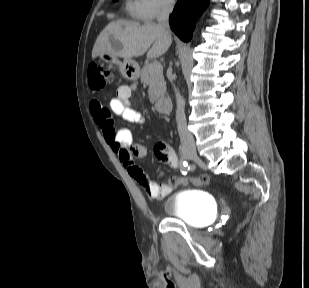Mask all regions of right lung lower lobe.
<instances>
[{
	"label": "right lung lower lobe",
	"instance_id": "right-lung-lower-lobe-1",
	"mask_svg": "<svg viewBox=\"0 0 309 288\" xmlns=\"http://www.w3.org/2000/svg\"><path fill=\"white\" fill-rule=\"evenodd\" d=\"M209 0H178L170 18L171 29L183 41H189V28L193 26L194 18L204 10Z\"/></svg>",
	"mask_w": 309,
	"mask_h": 288
}]
</instances>
